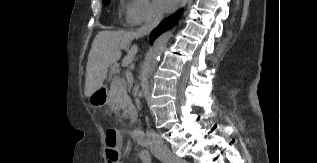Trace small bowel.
<instances>
[{
	"label": "small bowel",
	"mask_w": 317,
	"mask_h": 163,
	"mask_svg": "<svg viewBox=\"0 0 317 163\" xmlns=\"http://www.w3.org/2000/svg\"><path fill=\"white\" fill-rule=\"evenodd\" d=\"M140 163H151L150 154L147 151H141L139 153Z\"/></svg>",
	"instance_id": "obj_1"
}]
</instances>
